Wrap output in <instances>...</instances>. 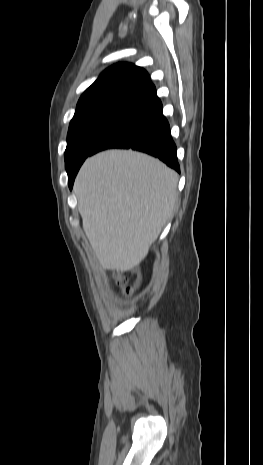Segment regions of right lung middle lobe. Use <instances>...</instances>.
<instances>
[{
	"label": "right lung middle lobe",
	"mask_w": 263,
	"mask_h": 465,
	"mask_svg": "<svg viewBox=\"0 0 263 465\" xmlns=\"http://www.w3.org/2000/svg\"><path fill=\"white\" fill-rule=\"evenodd\" d=\"M137 102L132 99H105L77 107L67 135L65 167L68 174L81 166L102 137Z\"/></svg>",
	"instance_id": "dd1d6c3e"
}]
</instances>
